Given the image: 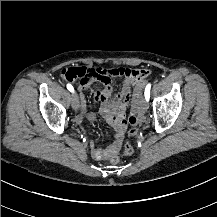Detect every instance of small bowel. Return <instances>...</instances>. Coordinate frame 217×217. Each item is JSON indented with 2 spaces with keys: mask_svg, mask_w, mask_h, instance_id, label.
<instances>
[{
  "mask_svg": "<svg viewBox=\"0 0 217 217\" xmlns=\"http://www.w3.org/2000/svg\"><path fill=\"white\" fill-rule=\"evenodd\" d=\"M115 75L109 71L99 75L98 82L105 87L95 92L94 97L96 102L100 105V110L105 114L108 123L114 129L115 142L106 147H99L94 140H90L88 145L90 153L95 160H104L110 154H117L121 148L123 141L128 115L131 116L129 106L132 98V84L135 81L145 80L147 76L134 77L132 74H124V81L119 92L112 96L113 92V78ZM88 83H81L80 88L85 89L89 86ZM95 118L93 111H87L86 113H78L74 121L82 127L85 120L92 121ZM130 118V117H129Z\"/></svg>",
  "mask_w": 217,
  "mask_h": 217,
  "instance_id": "c3829d8e",
  "label": "small bowel"
}]
</instances>
